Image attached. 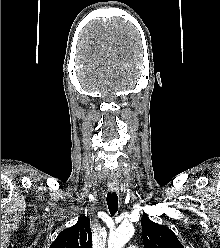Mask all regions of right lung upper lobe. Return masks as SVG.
Returning <instances> with one entry per match:
<instances>
[{
  "label": "right lung upper lobe",
  "instance_id": "obj_1",
  "mask_svg": "<svg viewBox=\"0 0 220 248\" xmlns=\"http://www.w3.org/2000/svg\"><path fill=\"white\" fill-rule=\"evenodd\" d=\"M49 248H92L90 219L80 217L74 226L60 232Z\"/></svg>",
  "mask_w": 220,
  "mask_h": 248
}]
</instances>
